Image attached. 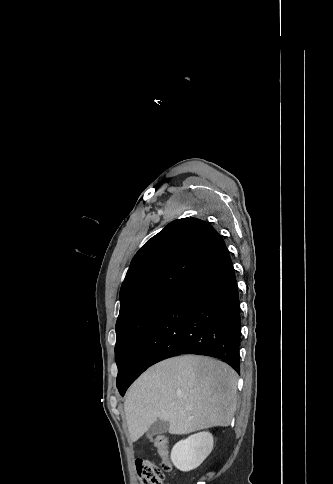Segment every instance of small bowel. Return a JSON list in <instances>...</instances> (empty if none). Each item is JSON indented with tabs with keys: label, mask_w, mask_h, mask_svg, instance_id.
<instances>
[{
	"label": "small bowel",
	"mask_w": 333,
	"mask_h": 484,
	"mask_svg": "<svg viewBox=\"0 0 333 484\" xmlns=\"http://www.w3.org/2000/svg\"><path fill=\"white\" fill-rule=\"evenodd\" d=\"M140 461H141V460H137V461H136V467H137V469H139Z\"/></svg>",
	"instance_id": "obj_1"
}]
</instances>
